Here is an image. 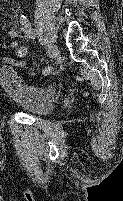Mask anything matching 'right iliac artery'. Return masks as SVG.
<instances>
[{
	"label": "right iliac artery",
	"instance_id": "right-iliac-artery-1",
	"mask_svg": "<svg viewBox=\"0 0 123 201\" xmlns=\"http://www.w3.org/2000/svg\"><path fill=\"white\" fill-rule=\"evenodd\" d=\"M20 24H21V29L25 33V35L28 38L34 39V33L32 31L30 23H29V21H28V19L26 18L25 15L20 16ZM50 73H51V67L48 66V67L43 69V74L44 75H48Z\"/></svg>",
	"mask_w": 123,
	"mask_h": 201
}]
</instances>
